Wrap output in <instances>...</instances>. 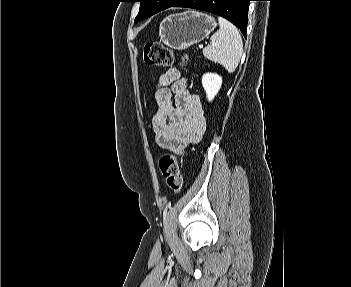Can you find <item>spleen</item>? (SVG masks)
I'll list each match as a JSON object with an SVG mask.
<instances>
[{
    "label": "spleen",
    "instance_id": "obj_1",
    "mask_svg": "<svg viewBox=\"0 0 351 287\" xmlns=\"http://www.w3.org/2000/svg\"><path fill=\"white\" fill-rule=\"evenodd\" d=\"M218 22L219 30L211 36L212 44L203 49V55L221 64L229 73H232L242 56V38L232 23L222 17L218 18Z\"/></svg>",
    "mask_w": 351,
    "mask_h": 287
}]
</instances>
